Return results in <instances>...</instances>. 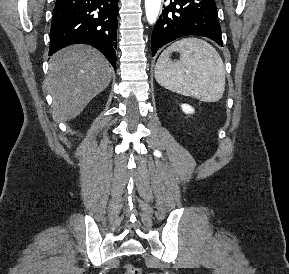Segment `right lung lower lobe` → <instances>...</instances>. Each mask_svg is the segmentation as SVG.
I'll list each match as a JSON object with an SVG mask.
<instances>
[{
    "label": "right lung lower lobe",
    "mask_w": 289,
    "mask_h": 274,
    "mask_svg": "<svg viewBox=\"0 0 289 274\" xmlns=\"http://www.w3.org/2000/svg\"><path fill=\"white\" fill-rule=\"evenodd\" d=\"M118 0H56L49 55L71 44L100 50L116 69Z\"/></svg>",
    "instance_id": "right-lung-lower-lobe-1"
}]
</instances>
